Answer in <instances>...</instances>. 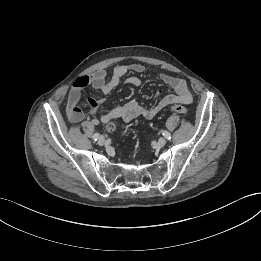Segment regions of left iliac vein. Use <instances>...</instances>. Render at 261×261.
<instances>
[{
  "label": "left iliac vein",
  "instance_id": "4c4485c4",
  "mask_svg": "<svg viewBox=\"0 0 261 261\" xmlns=\"http://www.w3.org/2000/svg\"><path fill=\"white\" fill-rule=\"evenodd\" d=\"M165 144H166V139L160 138V139L158 140V146H159V147H164Z\"/></svg>",
  "mask_w": 261,
  "mask_h": 261
}]
</instances>
